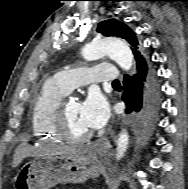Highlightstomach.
Masks as SVG:
<instances>
[{
  "label": "stomach",
  "mask_w": 188,
  "mask_h": 189,
  "mask_svg": "<svg viewBox=\"0 0 188 189\" xmlns=\"http://www.w3.org/2000/svg\"><path fill=\"white\" fill-rule=\"evenodd\" d=\"M96 154L37 157L14 180L15 189H50L58 183H83L99 176Z\"/></svg>",
  "instance_id": "0dacf381"
}]
</instances>
